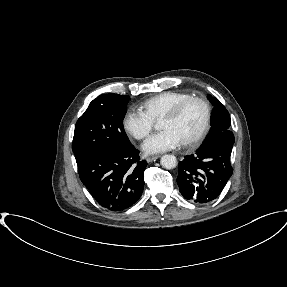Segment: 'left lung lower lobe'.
Returning <instances> with one entry per match:
<instances>
[{
	"label": "left lung lower lobe",
	"mask_w": 287,
	"mask_h": 287,
	"mask_svg": "<svg viewBox=\"0 0 287 287\" xmlns=\"http://www.w3.org/2000/svg\"><path fill=\"white\" fill-rule=\"evenodd\" d=\"M234 141L233 133L226 131L178 163L177 183L184 198L208 203L221 193L233 172L230 156Z\"/></svg>",
	"instance_id": "left-lung-lower-lobe-1"
}]
</instances>
